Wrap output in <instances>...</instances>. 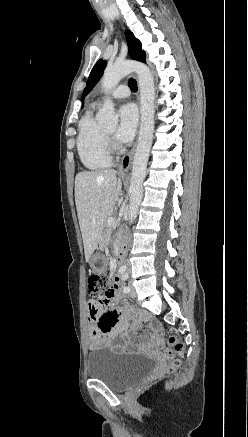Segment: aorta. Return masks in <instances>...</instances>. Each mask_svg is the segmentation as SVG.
<instances>
[{"mask_svg":"<svg viewBox=\"0 0 248 437\" xmlns=\"http://www.w3.org/2000/svg\"><path fill=\"white\" fill-rule=\"evenodd\" d=\"M136 72L140 90L141 122L138 144L134 154L131 180L130 203L128 218L132 224L138 215L139 206L143 197V181L154 131V78L150 69L143 63L136 61L117 62L104 71L102 87L106 93L113 89L126 75ZM97 120L105 126L116 127L118 117L115 114L113 102L107 99L97 114Z\"/></svg>","mask_w":248,"mask_h":437,"instance_id":"1","label":"aorta"}]
</instances>
